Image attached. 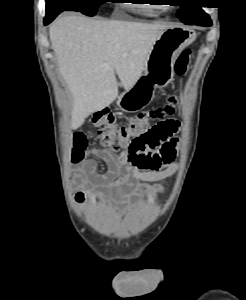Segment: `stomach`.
Masks as SVG:
<instances>
[{"instance_id": "obj_1", "label": "stomach", "mask_w": 246, "mask_h": 300, "mask_svg": "<svg viewBox=\"0 0 246 300\" xmlns=\"http://www.w3.org/2000/svg\"><path fill=\"white\" fill-rule=\"evenodd\" d=\"M195 39L196 33L190 29L171 27L163 31L151 47L144 74L117 98V105L127 112L145 108L155 89L171 81L175 60Z\"/></svg>"}]
</instances>
